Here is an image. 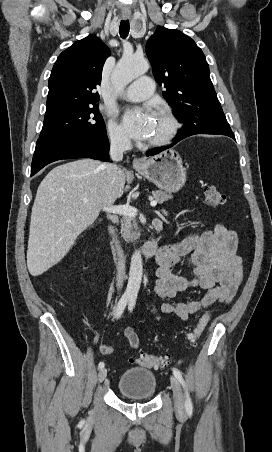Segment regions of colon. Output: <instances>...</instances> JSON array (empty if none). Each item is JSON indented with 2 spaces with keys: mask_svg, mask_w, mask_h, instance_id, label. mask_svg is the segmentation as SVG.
<instances>
[{
  "mask_svg": "<svg viewBox=\"0 0 272 452\" xmlns=\"http://www.w3.org/2000/svg\"><path fill=\"white\" fill-rule=\"evenodd\" d=\"M205 203L212 207L218 208L226 203V196L214 185H206L204 188ZM209 321V314L204 313L199 318L193 330L188 334V340L191 344H195L201 337ZM134 365L145 366L150 368L163 367L169 364L170 359L167 356L141 355L130 359Z\"/></svg>",
  "mask_w": 272,
  "mask_h": 452,
  "instance_id": "1",
  "label": "colon"
}]
</instances>
